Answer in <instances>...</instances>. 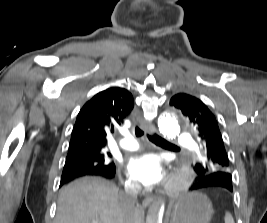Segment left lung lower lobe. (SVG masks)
Instances as JSON below:
<instances>
[{"instance_id": "left-lung-lower-lobe-1", "label": "left lung lower lobe", "mask_w": 267, "mask_h": 223, "mask_svg": "<svg viewBox=\"0 0 267 223\" xmlns=\"http://www.w3.org/2000/svg\"><path fill=\"white\" fill-rule=\"evenodd\" d=\"M193 178H198L190 190L193 192H211L214 195L232 194L235 187L231 173H193Z\"/></svg>"}]
</instances>
